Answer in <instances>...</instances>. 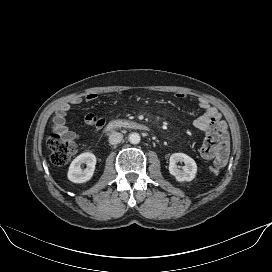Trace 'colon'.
Listing matches in <instances>:
<instances>
[{
    "label": "colon",
    "instance_id": "obj_1",
    "mask_svg": "<svg viewBox=\"0 0 272 272\" xmlns=\"http://www.w3.org/2000/svg\"><path fill=\"white\" fill-rule=\"evenodd\" d=\"M47 146L51 151V161L58 166L65 165L76 152V146L73 142L64 139L59 134H51L47 139ZM210 173L214 176L220 173V168L213 166Z\"/></svg>",
    "mask_w": 272,
    "mask_h": 272
}]
</instances>
